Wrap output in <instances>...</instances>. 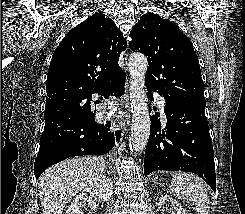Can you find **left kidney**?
<instances>
[{
	"label": "left kidney",
	"instance_id": "obj_1",
	"mask_svg": "<svg viewBox=\"0 0 245 214\" xmlns=\"http://www.w3.org/2000/svg\"><path fill=\"white\" fill-rule=\"evenodd\" d=\"M157 211L158 214H185L183 206L169 195L160 198Z\"/></svg>",
	"mask_w": 245,
	"mask_h": 214
}]
</instances>
